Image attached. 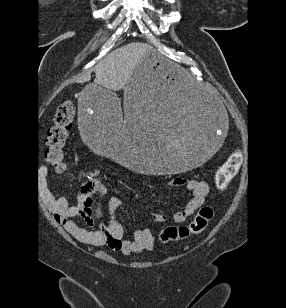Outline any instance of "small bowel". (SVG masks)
Segmentation results:
<instances>
[{"mask_svg": "<svg viewBox=\"0 0 286 308\" xmlns=\"http://www.w3.org/2000/svg\"><path fill=\"white\" fill-rule=\"evenodd\" d=\"M173 186H185L191 193V199L187 205L174 214L175 223L185 222L194 212L200 208L209 193V185L203 180L175 178L171 181ZM105 193V187L98 179L86 181L79 192L76 205L51 191L49 206L54 217L77 239L94 245L107 246L114 251L125 255L140 253L143 250H152L155 247V237L149 229H136L132 240L124 238V228L117 218V211L122 206L118 197H111L108 202L107 225L97 230L86 228L74 220L75 217H82L88 227L101 215L99 202ZM156 222H164L166 216L160 213L153 215Z\"/></svg>", "mask_w": 286, "mask_h": 308, "instance_id": "1", "label": "small bowel"}]
</instances>
